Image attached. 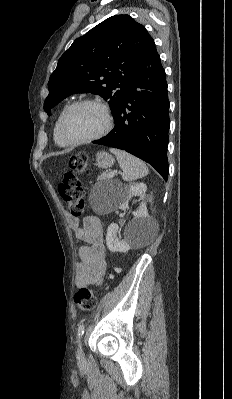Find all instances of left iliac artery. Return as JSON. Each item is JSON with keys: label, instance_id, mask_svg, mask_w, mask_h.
I'll use <instances>...</instances> for the list:
<instances>
[{"label": "left iliac artery", "instance_id": "44dca946", "mask_svg": "<svg viewBox=\"0 0 232 399\" xmlns=\"http://www.w3.org/2000/svg\"><path fill=\"white\" fill-rule=\"evenodd\" d=\"M85 332V326L82 324L78 327L77 338L79 339Z\"/></svg>", "mask_w": 232, "mask_h": 399}]
</instances>
